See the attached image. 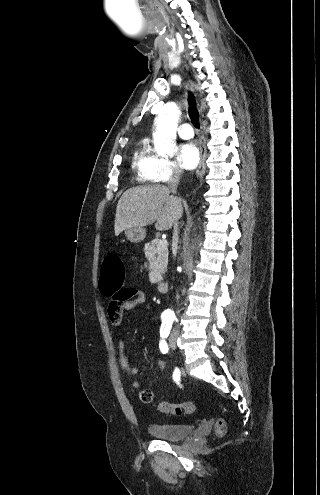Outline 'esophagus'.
Returning a JSON list of instances; mask_svg holds the SVG:
<instances>
[{
  "label": "esophagus",
  "mask_w": 320,
  "mask_h": 495,
  "mask_svg": "<svg viewBox=\"0 0 320 495\" xmlns=\"http://www.w3.org/2000/svg\"><path fill=\"white\" fill-rule=\"evenodd\" d=\"M200 154H201L200 163L196 171L197 178L199 179L202 178L206 170L205 160L207 156V151L204 145H201L200 147Z\"/></svg>",
  "instance_id": "obj_1"
}]
</instances>
